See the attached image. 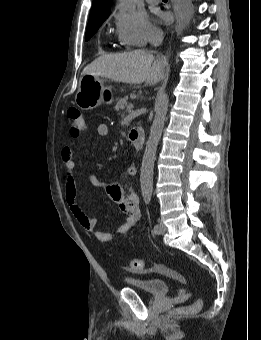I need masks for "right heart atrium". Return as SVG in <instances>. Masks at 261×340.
I'll list each match as a JSON object with an SVG mask.
<instances>
[{
	"mask_svg": "<svg viewBox=\"0 0 261 340\" xmlns=\"http://www.w3.org/2000/svg\"><path fill=\"white\" fill-rule=\"evenodd\" d=\"M114 17L118 36L126 45L142 47L160 34L142 11H117Z\"/></svg>",
	"mask_w": 261,
	"mask_h": 340,
	"instance_id": "d8ad5b80",
	"label": "right heart atrium"
}]
</instances>
